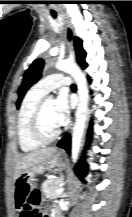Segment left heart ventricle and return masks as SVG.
I'll return each mask as SVG.
<instances>
[{
  "instance_id": "left-heart-ventricle-1",
  "label": "left heart ventricle",
  "mask_w": 132,
  "mask_h": 217,
  "mask_svg": "<svg viewBox=\"0 0 132 217\" xmlns=\"http://www.w3.org/2000/svg\"><path fill=\"white\" fill-rule=\"evenodd\" d=\"M53 109L54 100L49 98L45 104L42 116V127L44 132L48 135L53 134L58 129L54 121Z\"/></svg>"
}]
</instances>
